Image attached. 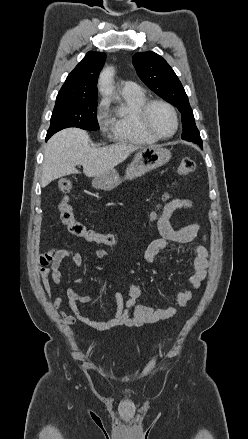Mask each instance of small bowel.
I'll list each match as a JSON object with an SVG mask.
<instances>
[{
	"mask_svg": "<svg viewBox=\"0 0 248 439\" xmlns=\"http://www.w3.org/2000/svg\"><path fill=\"white\" fill-rule=\"evenodd\" d=\"M191 208H193V202L187 198H175L164 206L157 221L160 238L153 240L144 252V259L148 264H152L159 253L169 250L173 244H189L196 239L200 231V224L192 223L183 228L174 229L170 223V218L174 212ZM93 253L102 260L109 258L108 252L100 248L95 249ZM189 255L192 257V272L187 277L186 283L190 285V288L179 291L174 304L169 307L158 308L156 306L137 305L136 301L140 296V288L137 284L130 287L127 301H125L122 293H115L116 312L112 318L107 320L97 321L86 317L80 311L78 304L89 303L91 297L82 295L73 288L59 291L52 304L55 309L60 310L66 299L69 313L60 311L64 321L69 325L81 322L97 331H105L117 326L142 327L172 318L179 309L184 308L194 297L195 291L201 286L209 269V252L205 245L194 246L189 251ZM65 259H70L76 269H80L83 265L82 256L71 249H52L38 256V272L41 276L43 290L49 298L52 297V284L60 286L62 283L61 265ZM75 283L80 285L82 281L76 280Z\"/></svg>",
	"mask_w": 248,
	"mask_h": 439,
	"instance_id": "1",
	"label": "small bowel"
}]
</instances>
